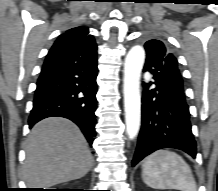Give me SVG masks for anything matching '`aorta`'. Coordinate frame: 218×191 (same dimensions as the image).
<instances>
[{"mask_svg":"<svg viewBox=\"0 0 218 191\" xmlns=\"http://www.w3.org/2000/svg\"><path fill=\"white\" fill-rule=\"evenodd\" d=\"M144 61L145 51L137 45L130 49L124 63V110L126 132L130 139H134L140 129V75Z\"/></svg>","mask_w":218,"mask_h":191,"instance_id":"762f6f07","label":"aorta"}]
</instances>
